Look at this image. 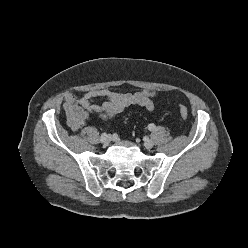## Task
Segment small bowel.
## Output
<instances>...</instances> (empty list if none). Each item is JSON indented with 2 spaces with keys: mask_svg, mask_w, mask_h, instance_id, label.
<instances>
[{
  "mask_svg": "<svg viewBox=\"0 0 248 248\" xmlns=\"http://www.w3.org/2000/svg\"><path fill=\"white\" fill-rule=\"evenodd\" d=\"M156 93L141 90L134 93H119L108 89L91 90L81 96L67 94L63 101V109L67 115V125L77 131L92 116H97L104 123H110L119 113L129 106L137 105L149 111L155 109ZM97 99H104L101 105L94 104Z\"/></svg>",
  "mask_w": 248,
  "mask_h": 248,
  "instance_id": "c3829d8e",
  "label": "small bowel"
}]
</instances>
